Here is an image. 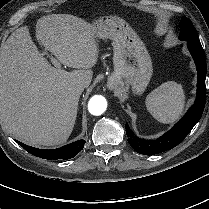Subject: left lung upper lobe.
<instances>
[{"instance_id": "1", "label": "left lung upper lobe", "mask_w": 209, "mask_h": 209, "mask_svg": "<svg viewBox=\"0 0 209 209\" xmlns=\"http://www.w3.org/2000/svg\"><path fill=\"white\" fill-rule=\"evenodd\" d=\"M179 39L186 41H198L199 37L192 22L187 18L183 17L180 22V34Z\"/></svg>"}]
</instances>
